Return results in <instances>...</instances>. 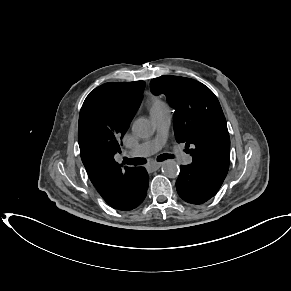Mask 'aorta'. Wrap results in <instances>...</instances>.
<instances>
[{
	"mask_svg": "<svg viewBox=\"0 0 291 291\" xmlns=\"http://www.w3.org/2000/svg\"><path fill=\"white\" fill-rule=\"evenodd\" d=\"M132 132L139 138H149L154 133V127L148 119L139 118L132 125ZM162 173L169 178H175L179 174V166L174 160H166L162 164Z\"/></svg>",
	"mask_w": 291,
	"mask_h": 291,
	"instance_id": "762f6f07",
	"label": "aorta"
}]
</instances>
